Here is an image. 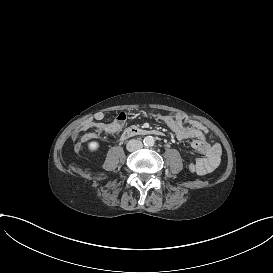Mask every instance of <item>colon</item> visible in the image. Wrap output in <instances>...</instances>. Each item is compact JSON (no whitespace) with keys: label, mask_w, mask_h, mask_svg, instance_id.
Wrapping results in <instances>:
<instances>
[{"label":"colon","mask_w":273,"mask_h":273,"mask_svg":"<svg viewBox=\"0 0 273 273\" xmlns=\"http://www.w3.org/2000/svg\"><path fill=\"white\" fill-rule=\"evenodd\" d=\"M96 123V120L94 119V118H90L88 121H87V124L89 125V126H92V125H94ZM80 130L82 131V132H85L86 130H87V127L85 126V125H82L81 127H80Z\"/></svg>","instance_id":"obj_1"}]
</instances>
